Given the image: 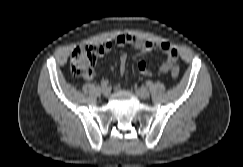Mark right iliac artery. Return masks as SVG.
I'll list each match as a JSON object with an SVG mask.
<instances>
[{"label":"right iliac artery","instance_id":"right-iliac-artery-1","mask_svg":"<svg viewBox=\"0 0 243 167\" xmlns=\"http://www.w3.org/2000/svg\"><path fill=\"white\" fill-rule=\"evenodd\" d=\"M108 84H109V81L106 80V79L101 81V86H102V87H105V86H107Z\"/></svg>","mask_w":243,"mask_h":167}]
</instances>
